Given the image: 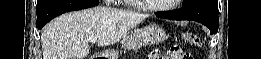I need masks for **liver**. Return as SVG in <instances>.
I'll list each match as a JSON object with an SVG mask.
<instances>
[{
    "mask_svg": "<svg viewBox=\"0 0 261 59\" xmlns=\"http://www.w3.org/2000/svg\"><path fill=\"white\" fill-rule=\"evenodd\" d=\"M146 18L144 14L97 6L63 14L42 30L43 59H85L90 38L100 47L119 42Z\"/></svg>",
    "mask_w": 261,
    "mask_h": 59,
    "instance_id": "liver-1",
    "label": "liver"
}]
</instances>
